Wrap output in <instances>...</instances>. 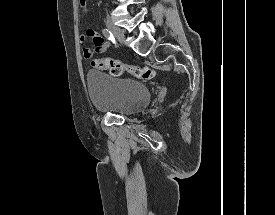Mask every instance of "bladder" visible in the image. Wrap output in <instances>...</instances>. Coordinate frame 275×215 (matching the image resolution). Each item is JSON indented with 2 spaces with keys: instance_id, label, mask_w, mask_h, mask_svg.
Wrapping results in <instances>:
<instances>
[{
  "instance_id": "obj_1",
  "label": "bladder",
  "mask_w": 275,
  "mask_h": 215,
  "mask_svg": "<svg viewBox=\"0 0 275 215\" xmlns=\"http://www.w3.org/2000/svg\"><path fill=\"white\" fill-rule=\"evenodd\" d=\"M90 98L95 109L116 115H132L145 108L151 98L149 88L131 78L109 76L90 70L86 74Z\"/></svg>"
}]
</instances>
